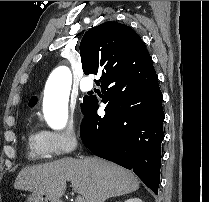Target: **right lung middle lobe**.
<instances>
[{
  "mask_svg": "<svg viewBox=\"0 0 209 202\" xmlns=\"http://www.w3.org/2000/svg\"><path fill=\"white\" fill-rule=\"evenodd\" d=\"M89 96H85L83 98V104L81 105L82 106V112L85 110L86 108V104H87V99H88Z\"/></svg>",
  "mask_w": 209,
  "mask_h": 202,
  "instance_id": "right-lung-middle-lobe-1",
  "label": "right lung middle lobe"
}]
</instances>
